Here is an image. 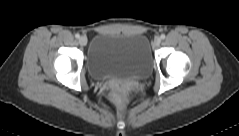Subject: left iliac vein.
<instances>
[{"mask_svg":"<svg viewBox=\"0 0 239 136\" xmlns=\"http://www.w3.org/2000/svg\"><path fill=\"white\" fill-rule=\"evenodd\" d=\"M160 43H161V39H160L159 37H156V38L154 39L153 45H154L155 47H158V46L160 45Z\"/></svg>","mask_w":239,"mask_h":136,"instance_id":"4c4485c4","label":"left iliac vein"}]
</instances>
